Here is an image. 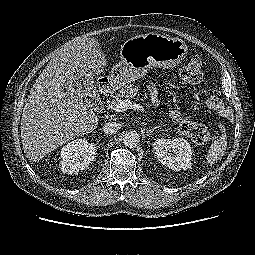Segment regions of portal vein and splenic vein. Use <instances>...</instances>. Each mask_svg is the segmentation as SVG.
Returning a JSON list of instances; mask_svg holds the SVG:
<instances>
[{
  "label": "portal vein and splenic vein",
  "mask_w": 255,
  "mask_h": 255,
  "mask_svg": "<svg viewBox=\"0 0 255 255\" xmlns=\"http://www.w3.org/2000/svg\"><path fill=\"white\" fill-rule=\"evenodd\" d=\"M115 112H123L126 111L127 109H137V110H142L143 107L140 106L139 104H133L129 99H124V100H119L112 108Z\"/></svg>",
  "instance_id": "obj_1"
}]
</instances>
